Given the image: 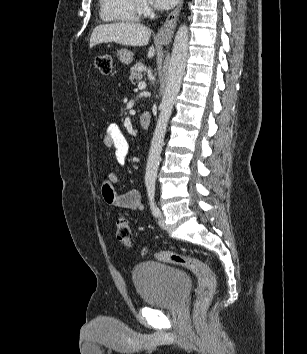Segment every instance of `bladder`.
I'll use <instances>...</instances> for the list:
<instances>
[{
  "label": "bladder",
  "instance_id": "obj_1",
  "mask_svg": "<svg viewBox=\"0 0 307 354\" xmlns=\"http://www.w3.org/2000/svg\"><path fill=\"white\" fill-rule=\"evenodd\" d=\"M132 280L144 303L164 308L180 305L191 287L185 271L158 261L137 264Z\"/></svg>",
  "mask_w": 307,
  "mask_h": 354
}]
</instances>
